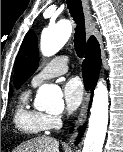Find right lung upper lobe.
<instances>
[{"label":"right lung upper lobe","instance_id":"cb5924a9","mask_svg":"<svg viewBox=\"0 0 123 152\" xmlns=\"http://www.w3.org/2000/svg\"><path fill=\"white\" fill-rule=\"evenodd\" d=\"M11 93H12V89L10 90L9 94H11Z\"/></svg>","mask_w":123,"mask_h":152}]
</instances>
